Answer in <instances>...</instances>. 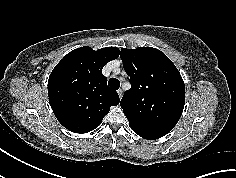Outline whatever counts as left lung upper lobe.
<instances>
[{"label": "left lung upper lobe", "instance_id": "left-lung-upper-lobe-1", "mask_svg": "<svg viewBox=\"0 0 236 178\" xmlns=\"http://www.w3.org/2000/svg\"><path fill=\"white\" fill-rule=\"evenodd\" d=\"M120 57L131 82L120 102L130 127L135 133L166 135L185 104V85L178 69L152 47L122 48Z\"/></svg>", "mask_w": 236, "mask_h": 178}]
</instances>
